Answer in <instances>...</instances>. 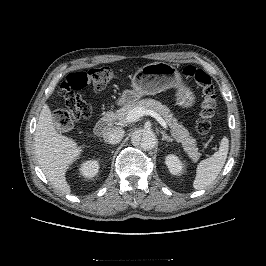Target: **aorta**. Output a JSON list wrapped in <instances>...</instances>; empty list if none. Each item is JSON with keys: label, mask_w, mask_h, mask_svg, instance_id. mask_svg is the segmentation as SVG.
Segmentation results:
<instances>
[{"label": "aorta", "mask_w": 266, "mask_h": 266, "mask_svg": "<svg viewBox=\"0 0 266 266\" xmlns=\"http://www.w3.org/2000/svg\"><path fill=\"white\" fill-rule=\"evenodd\" d=\"M132 143L144 150H150L156 145V136L151 130L137 131L132 135Z\"/></svg>", "instance_id": "762f6f07"}]
</instances>
